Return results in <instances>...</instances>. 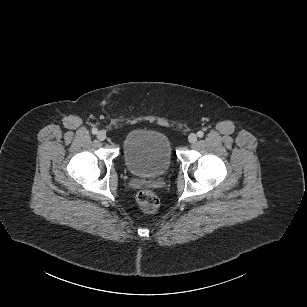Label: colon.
<instances>
[{"label":"colon","mask_w":307,"mask_h":307,"mask_svg":"<svg viewBox=\"0 0 307 307\" xmlns=\"http://www.w3.org/2000/svg\"><path fill=\"white\" fill-rule=\"evenodd\" d=\"M138 208L145 213L154 212L159 206V199L150 190H141L136 196Z\"/></svg>","instance_id":"obj_1"}]
</instances>
